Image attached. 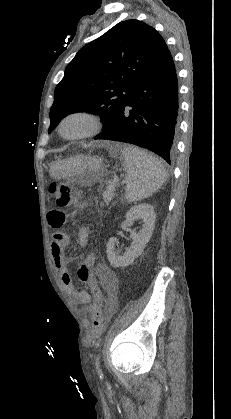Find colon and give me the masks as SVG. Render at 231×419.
I'll return each instance as SVG.
<instances>
[{"instance_id": "obj_1", "label": "colon", "mask_w": 231, "mask_h": 419, "mask_svg": "<svg viewBox=\"0 0 231 419\" xmlns=\"http://www.w3.org/2000/svg\"><path fill=\"white\" fill-rule=\"evenodd\" d=\"M49 191L55 197L56 203L60 207H67L70 205H75L77 208L80 206L77 204L74 193L66 184L61 182H52L49 185ZM62 223L58 222V226ZM94 262V256L91 253H85L82 257L81 263H78L75 278L76 280H81L83 286L86 287L91 293L92 297L88 298L89 302L94 303L91 306V316H92V333L91 338H96L102 334L105 329L103 321V313L101 306V298L103 297V292L98 290V286L94 283L95 275L91 273L92 265Z\"/></svg>"}]
</instances>
